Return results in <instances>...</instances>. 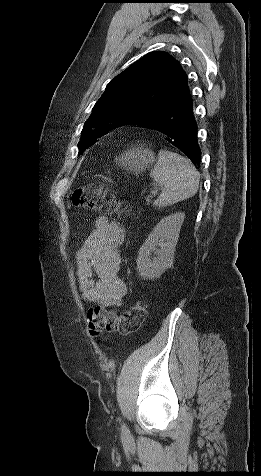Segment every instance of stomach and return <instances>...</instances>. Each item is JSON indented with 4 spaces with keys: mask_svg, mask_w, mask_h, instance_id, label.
<instances>
[{
    "mask_svg": "<svg viewBox=\"0 0 261 476\" xmlns=\"http://www.w3.org/2000/svg\"><path fill=\"white\" fill-rule=\"evenodd\" d=\"M118 164L132 172H142L154 161V153L144 147H132L116 157Z\"/></svg>",
    "mask_w": 261,
    "mask_h": 476,
    "instance_id": "stomach-1",
    "label": "stomach"
}]
</instances>
